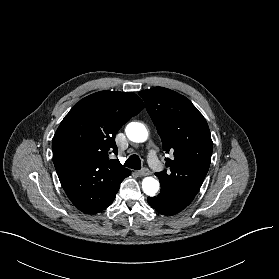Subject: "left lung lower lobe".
Wrapping results in <instances>:
<instances>
[{"instance_id":"1","label":"left lung lower lobe","mask_w":279,"mask_h":279,"mask_svg":"<svg viewBox=\"0 0 279 279\" xmlns=\"http://www.w3.org/2000/svg\"><path fill=\"white\" fill-rule=\"evenodd\" d=\"M194 199L193 196L178 194L161 187L156 197H148L149 205L163 215H174L186 208Z\"/></svg>"}]
</instances>
